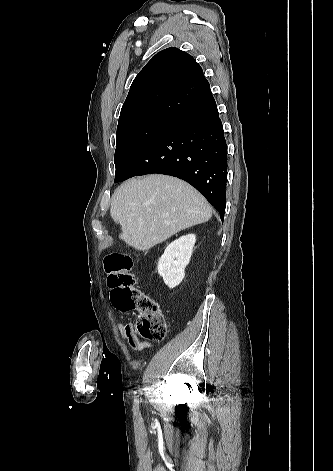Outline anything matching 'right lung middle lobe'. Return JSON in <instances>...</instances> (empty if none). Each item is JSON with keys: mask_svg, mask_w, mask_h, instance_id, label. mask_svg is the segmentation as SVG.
Masks as SVG:
<instances>
[{"mask_svg": "<svg viewBox=\"0 0 333 471\" xmlns=\"http://www.w3.org/2000/svg\"><path fill=\"white\" fill-rule=\"evenodd\" d=\"M174 118L164 114L144 113L119 119L114 156L115 181L123 175L143 149L173 122Z\"/></svg>", "mask_w": 333, "mask_h": 471, "instance_id": "dd1d6c3e", "label": "right lung middle lobe"}]
</instances>
